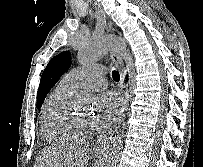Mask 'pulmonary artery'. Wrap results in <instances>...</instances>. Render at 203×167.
Wrapping results in <instances>:
<instances>
[{
	"mask_svg": "<svg viewBox=\"0 0 203 167\" xmlns=\"http://www.w3.org/2000/svg\"><path fill=\"white\" fill-rule=\"evenodd\" d=\"M103 66H85L76 68L66 73L61 83L71 88H84L97 90L106 85Z\"/></svg>",
	"mask_w": 203,
	"mask_h": 167,
	"instance_id": "1",
	"label": "pulmonary artery"
}]
</instances>
